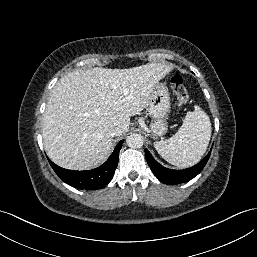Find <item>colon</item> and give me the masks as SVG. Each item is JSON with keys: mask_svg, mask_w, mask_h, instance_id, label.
<instances>
[{"mask_svg": "<svg viewBox=\"0 0 257 257\" xmlns=\"http://www.w3.org/2000/svg\"><path fill=\"white\" fill-rule=\"evenodd\" d=\"M170 84L179 104L187 103L189 94L182 77L179 74H173L170 78Z\"/></svg>", "mask_w": 257, "mask_h": 257, "instance_id": "5ec220e1", "label": "colon"}]
</instances>
